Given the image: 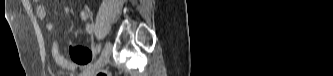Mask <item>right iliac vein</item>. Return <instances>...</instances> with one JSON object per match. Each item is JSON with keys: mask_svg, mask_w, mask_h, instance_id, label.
<instances>
[{"mask_svg": "<svg viewBox=\"0 0 333 76\" xmlns=\"http://www.w3.org/2000/svg\"><path fill=\"white\" fill-rule=\"evenodd\" d=\"M110 52H111V44L108 42L106 43L105 48L103 49L98 61L92 67L84 71L83 75L92 76L93 73L103 68L109 61Z\"/></svg>", "mask_w": 333, "mask_h": 76, "instance_id": "right-iliac-vein-1", "label": "right iliac vein"}]
</instances>
